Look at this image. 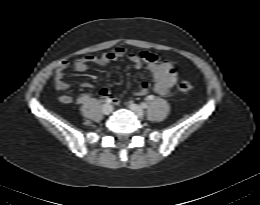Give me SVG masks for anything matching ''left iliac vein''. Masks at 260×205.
I'll return each mask as SVG.
<instances>
[{
    "instance_id": "left-iliac-vein-1",
    "label": "left iliac vein",
    "mask_w": 260,
    "mask_h": 205,
    "mask_svg": "<svg viewBox=\"0 0 260 205\" xmlns=\"http://www.w3.org/2000/svg\"><path fill=\"white\" fill-rule=\"evenodd\" d=\"M129 108L138 118L143 117V110L139 105L134 104V103H130Z\"/></svg>"
}]
</instances>
